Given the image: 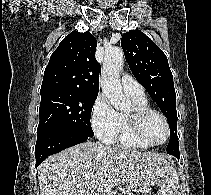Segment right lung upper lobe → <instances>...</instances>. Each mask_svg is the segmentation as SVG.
I'll return each instance as SVG.
<instances>
[{
  "label": "right lung upper lobe",
  "instance_id": "1",
  "mask_svg": "<svg viewBox=\"0 0 211 195\" xmlns=\"http://www.w3.org/2000/svg\"><path fill=\"white\" fill-rule=\"evenodd\" d=\"M96 46L88 31L67 35L50 57L40 93L67 90L98 94L101 66L95 59Z\"/></svg>",
  "mask_w": 211,
  "mask_h": 195
}]
</instances>
